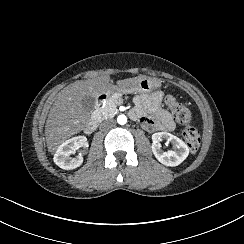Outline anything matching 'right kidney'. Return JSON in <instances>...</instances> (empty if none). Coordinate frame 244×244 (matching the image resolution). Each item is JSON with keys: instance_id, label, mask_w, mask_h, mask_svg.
<instances>
[{"instance_id": "1", "label": "right kidney", "mask_w": 244, "mask_h": 244, "mask_svg": "<svg viewBox=\"0 0 244 244\" xmlns=\"http://www.w3.org/2000/svg\"><path fill=\"white\" fill-rule=\"evenodd\" d=\"M80 147H88L85 136H77L65 141L54 154V163L64 170H72L79 167L83 163L82 154L80 153L75 158H71L70 155L75 154Z\"/></svg>"}]
</instances>
